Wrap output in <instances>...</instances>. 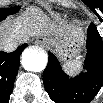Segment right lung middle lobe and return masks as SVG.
<instances>
[{"label":"right lung middle lobe","mask_w":103,"mask_h":103,"mask_svg":"<svg viewBox=\"0 0 103 103\" xmlns=\"http://www.w3.org/2000/svg\"><path fill=\"white\" fill-rule=\"evenodd\" d=\"M20 9L19 6L7 8V9H0V20L6 18V16L16 13Z\"/></svg>","instance_id":"obj_1"}]
</instances>
